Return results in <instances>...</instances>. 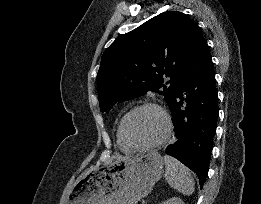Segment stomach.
Returning a JSON list of instances; mask_svg holds the SVG:
<instances>
[{
	"instance_id": "1",
	"label": "stomach",
	"mask_w": 261,
	"mask_h": 204,
	"mask_svg": "<svg viewBox=\"0 0 261 204\" xmlns=\"http://www.w3.org/2000/svg\"><path fill=\"white\" fill-rule=\"evenodd\" d=\"M163 165L152 151L93 169L74 184L67 204H137L161 178Z\"/></svg>"
}]
</instances>
